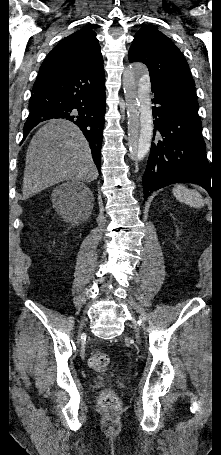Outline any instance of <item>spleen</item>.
Here are the masks:
<instances>
[{
  "instance_id": "1",
  "label": "spleen",
  "mask_w": 221,
  "mask_h": 455,
  "mask_svg": "<svg viewBox=\"0 0 221 455\" xmlns=\"http://www.w3.org/2000/svg\"><path fill=\"white\" fill-rule=\"evenodd\" d=\"M173 194L177 200L191 207L200 208L204 205L203 198L196 190L188 189L184 185H177L173 188Z\"/></svg>"
}]
</instances>
